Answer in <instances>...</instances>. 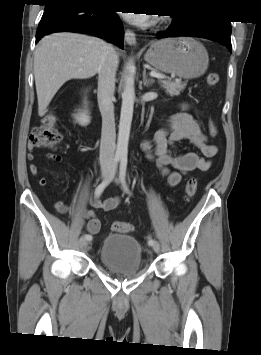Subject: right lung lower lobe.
<instances>
[{
	"label": "right lung lower lobe",
	"mask_w": 261,
	"mask_h": 355,
	"mask_svg": "<svg viewBox=\"0 0 261 355\" xmlns=\"http://www.w3.org/2000/svg\"><path fill=\"white\" fill-rule=\"evenodd\" d=\"M36 42L48 33L78 32L107 39L123 48L124 29L115 11L88 0H46Z\"/></svg>",
	"instance_id": "obj_1"
}]
</instances>
